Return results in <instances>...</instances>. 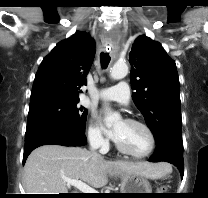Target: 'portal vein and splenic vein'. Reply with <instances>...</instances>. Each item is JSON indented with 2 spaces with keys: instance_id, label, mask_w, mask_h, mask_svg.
<instances>
[{
  "instance_id": "obj_1",
  "label": "portal vein and splenic vein",
  "mask_w": 208,
  "mask_h": 198,
  "mask_svg": "<svg viewBox=\"0 0 208 198\" xmlns=\"http://www.w3.org/2000/svg\"><path fill=\"white\" fill-rule=\"evenodd\" d=\"M64 181L67 183V186H74L77 189H79L82 193H98V191H96L95 189H93L81 180L64 178Z\"/></svg>"
}]
</instances>
